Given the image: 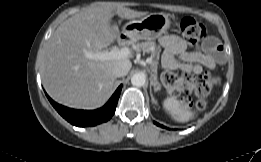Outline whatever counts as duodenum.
I'll use <instances>...</instances> for the list:
<instances>
[{
  "instance_id": "1",
  "label": "duodenum",
  "mask_w": 261,
  "mask_h": 162,
  "mask_svg": "<svg viewBox=\"0 0 261 162\" xmlns=\"http://www.w3.org/2000/svg\"><path fill=\"white\" fill-rule=\"evenodd\" d=\"M127 41L126 35H121L118 39L119 44H124Z\"/></svg>"
}]
</instances>
